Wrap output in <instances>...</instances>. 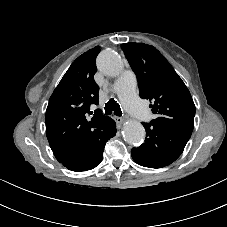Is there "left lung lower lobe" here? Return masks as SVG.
<instances>
[{"label":"left lung lower lobe","mask_w":227,"mask_h":227,"mask_svg":"<svg viewBox=\"0 0 227 227\" xmlns=\"http://www.w3.org/2000/svg\"><path fill=\"white\" fill-rule=\"evenodd\" d=\"M145 143L131 150L136 163L149 168H161L174 162L183 152L189 138L163 126L142 123Z\"/></svg>","instance_id":"0a47b994"}]
</instances>
